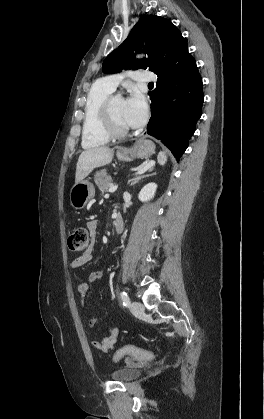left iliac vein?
I'll use <instances>...</instances> for the list:
<instances>
[{"instance_id": "1", "label": "left iliac vein", "mask_w": 264, "mask_h": 419, "mask_svg": "<svg viewBox=\"0 0 264 419\" xmlns=\"http://www.w3.org/2000/svg\"><path fill=\"white\" fill-rule=\"evenodd\" d=\"M129 309L135 315H139V314H142L144 312L143 305L140 302H137V301L131 302L130 305H129Z\"/></svg>"}]
</instances>
